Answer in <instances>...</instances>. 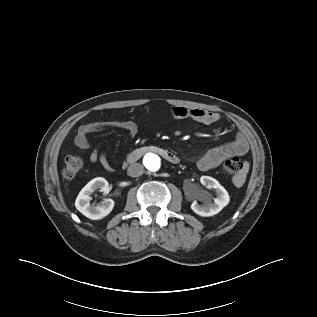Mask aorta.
I'll return each mask as SVG.
<instances>
[{
  "label": "aorta",
  "mask_w": 317,
  "mask_h": 317,
  "mask_svg": "<svg viewBox=\"0 0 317 317\" xmlns=\"http://www.w3.org/2000/svg\"><path fill=\"white\" fill-rule=\"evenodd\" d=\"M144 165L150 171H157L160 168V158L155 154H147L144 157Z\"/></svg>",
  "instance_id": "762f6f07"
}]
</instances>
